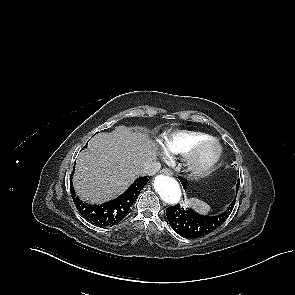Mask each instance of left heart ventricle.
I'll use <instances>...</instances> for the list:
<instances>
[{
  "label": "left heart ventricle",
  "mask_w": 295,
  "mask_h": 295,
  "mask_svg": "<svg viewBox=\"0 0 295 295\" xmlns=\"http://www.w3.org/2000/svg\"><path fill=\"white\" fill-rule=\"evenodd\" d=\"M212 151H213V148H212V147H208V148H206V149L202 152V154H201V156H200V159H201V160H205V159H207V158L211 155Z\"/></svg>",
  "instance_id": "b2bd125f"
}]
</instances>
